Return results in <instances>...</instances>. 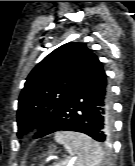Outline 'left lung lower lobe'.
Instances as JSON below:
<instances>
[{"label": "left lung lower lobe", "mask_w": 135, "mask_h": 166, "mask_svg": "<svg viewBox=\"0 0 135 166\" xmlns=\"http://www.w3.org/2000/svg\"><path fill=\"white\" fill-rule=\"evenodd\" d=\"M112 100L107 75L96 56L85 66L75 84L66 107L57 118L47 124L26 123L18 136L40 125L36 138L57 131H75L89 135L99 142H107L112 132Z\"/></svg>", "instance_id": "1"}]
</instances>
